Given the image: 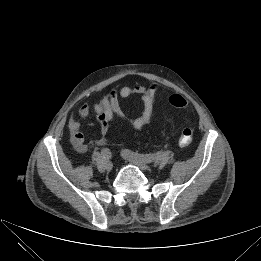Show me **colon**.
Returning a JSON list of instances; mask_svg holds the SVG:
<instances>
[{
  "instance_id": "colon-1",
  "label": "colon",
  "mask_w": 261,
  "mask_h": 261,
  "mask_svg": "<svg viewBox=\"0 0 261 261\" xmlns=\"http://www.w3.org/2000/svg\"><path fill=\"white\" fill-rule=\"evenodd\" d=\"M170 105L175 108H185L187 103L185 99L180 95H171L168 99ZM193 139V130L190 127H186L182 130L180 137H179V145L180 146H188Z\"/></svg>"
}]
</instances>
